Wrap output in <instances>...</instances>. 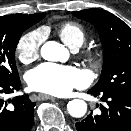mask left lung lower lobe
<instances>
[{"mask_svg": "<svg viewBox=\"0 0 131 131\" xmlns=\"http://www.w3.org/2000/svg\"><path fill=\"white\" fill-rule=\"evenodd\" d=\"M93 96H102L101 112H92L76 123L78 131H131V94L116 91H88ZM98 106V105H97Z\"/></svg>", "mask_w": 131, "mask_h": 131, "instance_id": "0a47b994", "label": "left lung lower lobe"}]
</instances>
